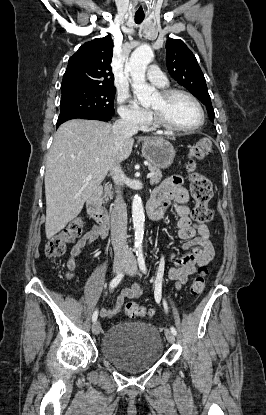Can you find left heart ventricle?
Here are the masks:
<instances>
[{"instance_id":"obj_1","label":"left heart ventricle","mask_w":266,"mask_h":415,"mask_svg":"<svg viewBox=\"0 0 266 415\" xmlns=\"http://www.w3.org/2000/svg\"><path fill=\"white\" fill-rule=\"evenodd\" d=\"M151 107L160 112L175 126L191 127L200 121V113L196 105L189 98L182 95L165 101L158 94L152 102Z\"/></svg>"}]
</instances>
